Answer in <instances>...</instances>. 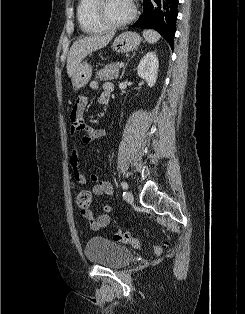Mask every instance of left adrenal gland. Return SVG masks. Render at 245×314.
I'll return each mask as SVG.
<instances>
[{
  "label": "left adrenal gland",
  "mask_w": 245,
  "mask_h": 314,
  "mask_svg": "<svg viewBox=\"0 0 245 314\" xmlns=\"http://www.w3.org/2000/svg\"><path fill=\"white\" fill-rule=\"evenodd\" d=\"M136 55V53H133V55L131 56V58L130 59H128V61H127V63H126V65L124 66V68H123V71H122V74H121V76H120V80L122 79V77L124 76V73H125V69H126V67H127V65H128V62L134 57Z\"/></svg>",
  "instance_id": "1"
}]
</instances>
